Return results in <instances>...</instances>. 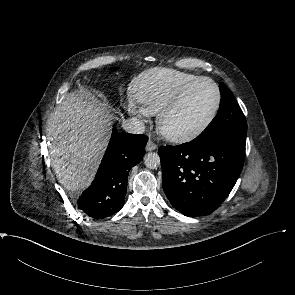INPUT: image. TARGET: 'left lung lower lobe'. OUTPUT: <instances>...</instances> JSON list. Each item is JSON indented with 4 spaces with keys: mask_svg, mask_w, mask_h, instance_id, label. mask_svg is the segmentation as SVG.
<instances>
[{
    "mask_svg": "<svg viewBox=\"0 0 295 295\" xmlns=\"http://www.w3.org/2000/svg\"><path fill=\"white\" fill-rule=\"evenodd\" d=\"M163 190L182 214L207 215L234 187L244 164L245 144L225 137L161 146Z\"/></svg>",
    "mask_w": 295,
    "mask_h": 295,
    "instance_id": "1",
    "label": "left lung lower lobe"
}]
</instances>
